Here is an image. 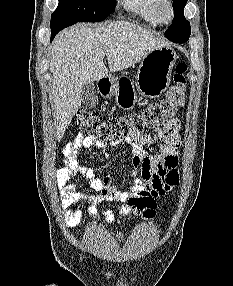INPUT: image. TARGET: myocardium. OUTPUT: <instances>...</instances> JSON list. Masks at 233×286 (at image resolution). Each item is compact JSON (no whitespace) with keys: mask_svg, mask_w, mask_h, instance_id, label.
Segmentation results:
<instances>
[{"mask_svg":"<svg viewBox=\"0 0 233 286\" xmlns=\"http://www.w3.org/2000/svg\"><path fill=\"white\" fill-rule=\"evenodd\" d=\"M156 15L162 24H170L175 18L172 0H156Z\"/></svg>","mask_w":233,"mask_h":286,"instance_id":"obj_1","label":"myocardium"}]
</instances>
